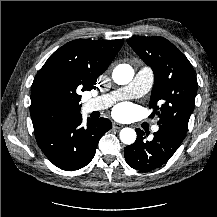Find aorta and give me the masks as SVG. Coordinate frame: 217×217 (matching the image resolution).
<instances>
[{"label": "aorta", "mask_w": 217, "mask_h": 217, "mask_svg": "<svg viewBox=\"0 0 217 217\" xmlns=\"http://www.w3.org/2000/svg\"><path fill=\"white\" fill-rule=\"evenodd\" d=\"M134 76L133 68L128 64H119L113 70L112 77L116 84L125 85L132 81ZM120 140L126 144H133L136 140L134 129L125 127L120 131Z\"/></svg>", "instance_id": "1"}]
</instances>
